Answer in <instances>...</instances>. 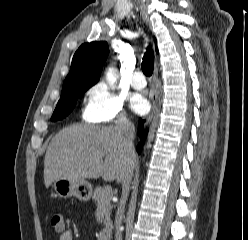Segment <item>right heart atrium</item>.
<instances>
[{
	"label": "right heart atrium",
	"mask_w": 248,
	"mask_h": 240,
	"mask_svg": "<svg viewBox=\"0 0 248 240\" xmlns=\"http://www.w3.org/2000/svg\"><path fill=\"white\" fill-rule=\"evenodd\" d=\"M83 117L92 123L125 122L124 100L105 83H96L85 93Z\"/></svg>",
	"instance_id": "d8ad5b80"
}]
</instances>
